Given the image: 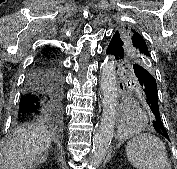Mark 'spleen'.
<instances>
[{
  "label": "spleen",
  "mask_w": 177,
  "mask_h": 169,
  "mask_svg": "<svg viewBox=\"0 0 177 169\" xmlns=\"http://www.w3.org/2000/svg\"><path fill=\"white\" fill-rule=\"evenodd\" d=\"M126 155L136 169H172L164 143L152 134L143 133L129 140Z\"/></svg>",
  "instance_id": "1"
}]
</instances>
